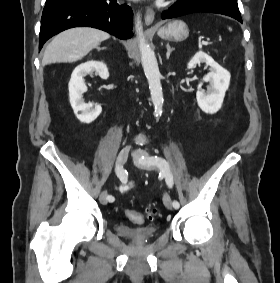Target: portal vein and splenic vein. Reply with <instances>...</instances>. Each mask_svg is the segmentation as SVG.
<instances>
[{
  "instance_id": "18ae733b",
  "label": "portal vein and splenic vein",
  "mask_w": 280,
  "mask_h": 283,
  "mask_svg": "<svg viewBox=\"0 0 280 283\" xmlns=\"http://www.w3.org/2000/svg\"><path fill=\"white\" fill-rule=\"evenodd\" d=\"M209 44H210L209 41H203V42H202V45H209Z\"/></svg>"
}]
</instances>
